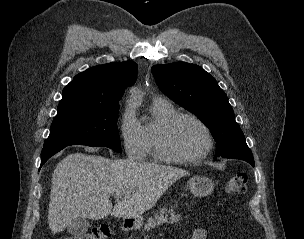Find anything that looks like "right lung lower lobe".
<instances>
[{"label":"right lung lower lobe","instance_id":"obj_1","mask_svg":"<svg viewBox=\"0 0 304 239\" xmlns=\"http://www.w3.org/2000/svg\"><path fill=\"white\" fill-rule=\"evenodd\" d=\"M65 147H61V148H52V149H43L42 153H41V166L54 154H56L57 152H59L60 150H62Z\"/></svg>","mask_w":304,"mask_h":239}]
</instances>
